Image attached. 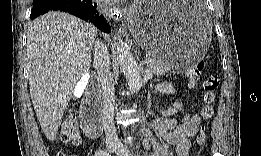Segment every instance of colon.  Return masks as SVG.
Wrapping results in <instances>:
<instances>
[{"label":"colon","instance_id":"obj_1","mask_svg":"<svg viewBox=\"0 0 261 156\" xmlns=\"http://www.w3.org/2000/svg\"><path fill=\"white\" fill-rule=\"evenodd\" d=\"M202 70L203 63L198 62L188 71L187 77L191 86H195L198 83ZM219 85L220 79L216 75L208 76L202 83V88L204 91V103L201 109V115L205 120L210 119L214 113V102ZM83 123V129L88 136L96 137L100 134V129L95 124H87L85 122ZM80 129L81 126L77 118L75 116H70L62 127L61 139L64 142L77 144L80 140ZM206 138L207 129L203 124L196 135V143L198 145H203L206 142Z\"/></svg>","mask_w":261,"mask_h":156}]
</instances>
